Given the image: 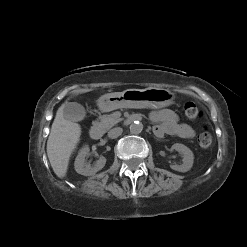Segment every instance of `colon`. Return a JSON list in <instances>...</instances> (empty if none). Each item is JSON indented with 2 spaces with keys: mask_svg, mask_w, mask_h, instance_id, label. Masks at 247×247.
Instances as JSON below:
<instances>
[{
  "mask_svg": "<svg viewBox=\"0 0 247 247\" xmlns=\"http://www.w3.org/2000/svg\"><path fill=\"white\" fill-rule=\"evenodd\" d=\"M184 115L189 122H195L202 116V111L193 102H187L184 105ZM198 143L201 148L208 149L212 145V137L210 133L203 129L199 134Z\"/></svg>",
  "mask_w": 247,
  "mask_h": 247,
  "instance_id": "1",
  "label": "colon"
}]
</instances>
